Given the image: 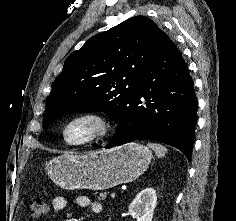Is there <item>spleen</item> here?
Wrapping results in <instances>:
<instances>
[{
    "label": "spleen",
    "instance_id": "1",
    "mask_svg": "<svg viewBox=\"0 0 236 221\" xmlns=\"http://www.w3.org/2000/svg\"><path fill=\"white\" fill-rule=\"evenodd\" d=\"M158 157H163L167 153V148L161 144L158 143H148L147 144Z\"/></svg>",
    "mask_w": 236,
    "mask_h": 221
}]
</instances>
